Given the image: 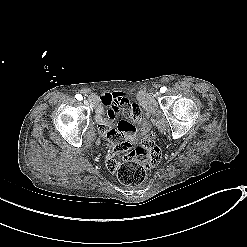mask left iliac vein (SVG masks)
Instances as JSON below:
<instances>
[{
  "label": "left iliac vein",
  "instance_id": "4c4485c4",
  "mask_svg": "<svg viewBox=\"0 0 247 247\" xmlns=\"http://www.w3.org/2000/svg\"><path fill=\"white\" fill-rule=\"evenodd\" d=\"M160 96V92H156L155 93V97L157 98V97H159Z\"/></svg>",
  "mask_w": 247,
  "mask_h": 247
}]
</instances>
